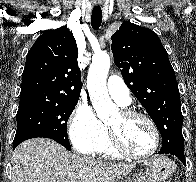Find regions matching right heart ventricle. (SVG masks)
I'll use <instances>...</instances> for the list:
<instances>
[{
	"mask_svg": "<svg viewBox=\"0 0 196 182\" xmlns=\"http://www.w3.org/2000/svg\"><path fill=\"white\" fill-rule=\"evenodd\" d=\"M97 153L107 156V157H119L120 155L113 149L111 146L110 140L108 138V135L106 134V138L102 144V146L99 148Z\"/></svg>",
	"mask_w": 196,
	"mask_h": 182,
	"instance_id": "e07e8e85",
	"label": "right heart ventricle"
}]
</instances>
